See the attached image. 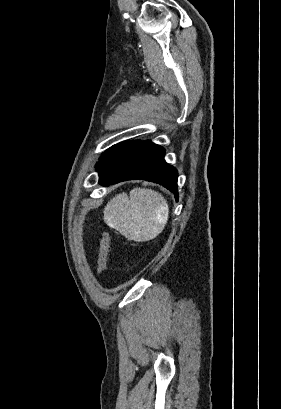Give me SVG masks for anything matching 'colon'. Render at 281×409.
<instances>
[{
    "label": "colon",
    "mask_w": 281,
    "mask_h": 409,
    "mask_svg": "<svg viewBox=\"0 0 281 409\" xmlns=\"http://www.w3.org/2000/svg\"><path fill=\"white\" fill-rule=\"evenodd\" d=\"M109 255V240L107 233L103 232L100 235L98 243L97 271L101 274L106 266Z\"/></svg>",
    "instance_id": "obj_1"
}]
</instances>
